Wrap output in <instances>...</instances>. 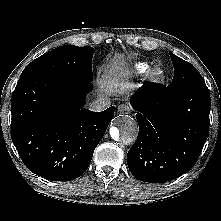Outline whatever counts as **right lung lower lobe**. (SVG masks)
Instances as JSON below:
<instances>
[{
    "instance_id": "right-lung-lower-lobe-1",
    "label": "right lung lower lobe",
    "mask_w": 221,
    "mask_h": 221,
    "mask_svg": "<svg viewBox=\"0 0 221 221\" xmlns=\"http://www.w3.org/2000/svg\"><path fill=\"white\" fill-rule=\"evenodd\" d=\"M89 80L46 74L20 77L11 101V138L31 172L70 181L88 168L114 116L83 109Z\"/></svg>"
}]
</instances>
